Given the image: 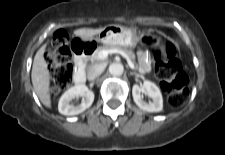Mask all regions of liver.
<instances>
[{"label": "liver", "instance_id": "1", "mask_svg": "<svg viewBox=\"0 0 225 155\" xmlns=\"http://www.w3.org/2000/svg\"><path fill=\"white\" fill-rule=\"evenodd\" d=\"M104 28L90 29L81 28L74 31V35L81 37H93L99 34ZM46 45H43L36 53L33 61L31 79L34 90L41 101V103L51 108L50 97V72L47 68V63L44 59V52Z\"/></svg>", "mask_w": 225, "mask_h": 155}]
</instances>
